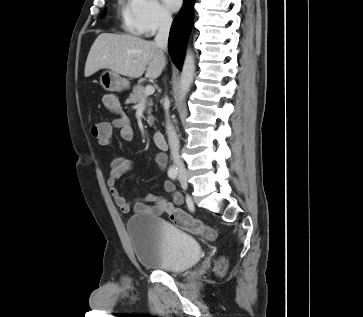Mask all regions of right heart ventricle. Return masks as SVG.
<instances>
[{"mask_svg":"<svg viewBox=\"0 0 363 317\" xmlns=\"http://www.w3.org/2000/svg\"><path fill=\"white\" fill-rule=\"evenodd\" d=\"M118 14L122 20L124 28L134 32L133 18L131 14V0H119Z\"/></svg>","mask_w":363,"mask_h":317,"instance_id":"e07e8e85","label":"right heart ventricle"}]
</instances>
